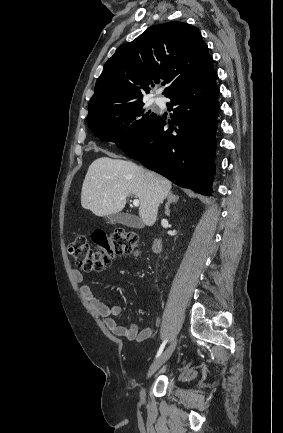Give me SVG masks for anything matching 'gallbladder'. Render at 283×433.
Instances as JSON below:
<instances>
[{
	"mask_svg": "<svg viewBox=\"0 0 283 433\" xmlns=\"http://www.w3.org/2000/svg\"><path fill=\"white\" fill-rule=\"evenodd\" d=\"M105 219L111 225L121 223V225H126V227H133V229H143L144 227L139 217H134V214H127V212H114V214H108V217H105Z\"/></svg>",
	"mask_w": 283,
	"mask_h": 433,
	"instance_id": "gallbladder-1",
	"label": "gallbladder"
}]
</instances>
